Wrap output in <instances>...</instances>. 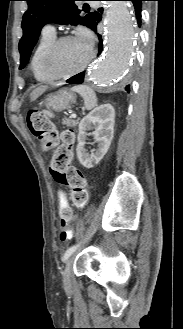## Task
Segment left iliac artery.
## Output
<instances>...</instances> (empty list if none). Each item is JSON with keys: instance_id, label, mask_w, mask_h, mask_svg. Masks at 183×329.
<instances>
[{"instance_id": "obj_1", "label": "left iliac artery", "mask_w": 183, "mask_h": 329, "mask_svg": "<svg viewBox=\"0 0 183 329\" xmlns=\"http://www.w3.org/2000/svg\"><path fill=\"white\" fill-rule=\"evenodd\" d=\"M81 243L82 242L68 248L63 256V261H66L69 258V256L80 246Z\"/></svg>"}]
</instances>
